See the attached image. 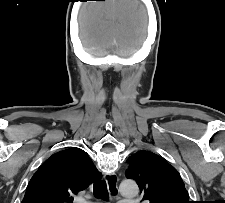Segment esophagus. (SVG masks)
Here are the masks:
<instances>
[{"mask_svg":"<svg viewBox=\"0 0 225 203\" xmlns=\"http://www.w3.org/2000/svg\"><path fill=\"white\" fill-rule=\"evenodd\" d=\"M108 188L112 195L117 196L119 194L118 190V176L115 173L109 174L105 178Z\"/></svg>","mask_w":225,"mask_h":203,"instance_id":"obj_1","label":"esophagus"}]
</instances>
